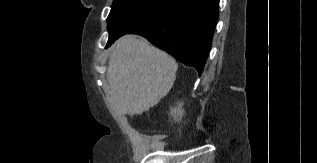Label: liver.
Returning a JSON list of instances; mask_svg holds the SVG:
<instances>
[{
	"label": "liver",
	"instance_id": "liver-1",
	"mask_svg": "<svg viewBox=\"0 0 317 163\" xmlns=\"http://www.w3.org/2000/svg\"><path fill=\"white\" fill-rule=\"evenodd\" d=\"M177 69L169 54L147 41L135 35L119 38L107 69L112 111L130 116L148 111L168 94Z\"/></svg>",
	"mask_w": 317,
	"mask_h": 163
}]
</instances>
